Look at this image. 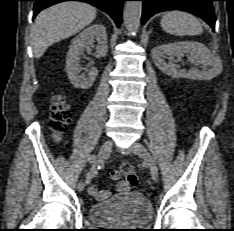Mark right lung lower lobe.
I'll list each match as a JSON object with an SVG mask.
<instances>
[{"label":"right lung lower lobe","mask_w":234,"mask_h":231,"mask_svg":"<svg viewBox=\"0 0 234 231\" xmlns=\"http://www.w3.org/2000/svg\"><path fill=\"white\" fill-rule=\"evenodd\" d=\"M34 15H36L43 9L63 1H83L89 3L107 14H109L115 21L116 25L119 27L122 16V2L124 0H34Z\"/></svg>","instance_id":"right-lung-lower-lobe-1"}]
</instances>
